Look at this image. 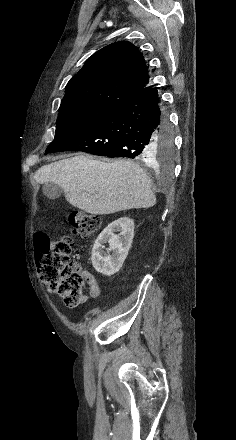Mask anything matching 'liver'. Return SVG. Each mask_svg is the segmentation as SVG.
Segmentation results:
<instances>
[{
    "mask_svg": "<svg viewBox=\"0 0 236 440\" xmlns=\"http://www.w3.org/2000/svg\"><path fill=\"white\" fill-rule=\"evenodd\" d=\"M34 179L57 184L71 205L93 215L156 204L150 178L129 160L104 162L78 155L42 166Z\"/></svg>",
    "mask_w": 236,
    "mask_h": 440,
    "instance_id": "6515ba94",
    "label": "liver"
}]
</instances>
